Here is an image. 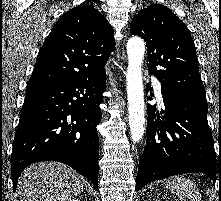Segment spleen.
Masks as SVG:
<instances>
[{"mask_svg":"<svg viewBox=\"0 0 221 201\" xmlns=\"http://www.w3.org/2000/svg\"><path fill=\"white\" fill-rule=\"evenodd\" d=\"M166 188L180 198L181 201H201L198 187L185 176H175L166 181Z\"/></svg>","mask_w":221,"mask_h":201,"instance_id":"obj_1","label":"spleen"}]
</instances>
